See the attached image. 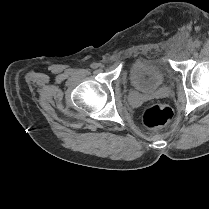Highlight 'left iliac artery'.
Listing matches in <instances>:
<instances>
[{"label": "left iliac artery", "mask_w": 209, "mask_h": 209, "mask_svg": "<svg viewBox=\"0 0 209 209\" xmlns=\"http://www.w3.org/2000/svg\"><path fill=\"white\" fill-rule=\"evenodd\" d=\"M194 46H195L196 48H198V47L200 46V42H199V41H195V42H194Z\"/></svg>", "instance_id": "left-iliac-artery-1"}]
</instances>
